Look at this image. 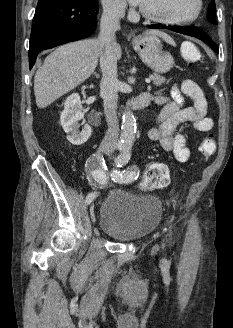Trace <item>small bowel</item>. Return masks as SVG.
<instances>
[{
	"label": "small bowel",
	"instance_id": "small-bowel-1",
	"mask_svg": "<svg viewBox=\"0 0 233 328\" xmlns=\"http://www.w3.org/2000/svg\"><path fill=\"white\" fill-rule=\"evenodd\" d=\"M185 96L193 100V106L184 105ZM151 97L162 108L148 132L149 139L173 153L179 162H186L190 150L186 135L178 127L189 123L200 132H208L214 127L213 119L207 116L208 104L202 89L194 81L186 79L179 86H173L168 96L157 93Z\"/></svg>",
	"mask_w": 233,
	"mask_h": 328
}]
</instances>
